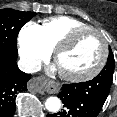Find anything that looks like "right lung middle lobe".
I'll return each mask as SVG.
<instances>
[{
	"mask_svg": "<svg viewBox=\"0 0 117 117\" xmlns=\"http://www.w3.org/2000/svg\"><path fill=\"white\" fill-rule=\"evenodd\" d=\"M35 12H22L5 8L0 10V53L10 59H17V35Z\"/></svg>",
	"mask_w": 117,
	"mask_h": 117,
	"instance_id": "1",
	"label": "right lung middle lobe"
}]
</instances>
